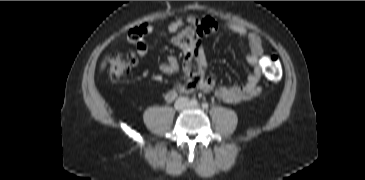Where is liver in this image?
<instances>
[{
    "label": "liver",
    "instance_id": "6515ba94",
    "mask_svg": "<svg viewBox=\"0 0 365 180\" xmlns=\"http://www.w3.org/2000/svg\"><path fill=\"white\" fill-rule=\"evenodd\" d=\"M109 59V56L107 55L104 60L102 61L101 65H100V71L103 72L107 66V61Z\"/></svg>",
    "mask_w": 365,
    "mask_h": 180
}]
</instances>
